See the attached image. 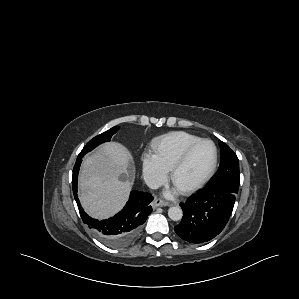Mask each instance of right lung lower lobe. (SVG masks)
<instances>
[{"label":"right lung lower lobe","instance_id":"98d812e1","mask_svg":"<svg viewBox=\"0 0 299 299\" xmlns=\"http://www.w3.org/2000/svg\"><path fill=\"white\" fill-rule=\"evenodd\" d=\"M83 156L84 155L78 156L72 176L73 194L81 218L84 223L94 229L97 236L105 244L114 248L125 247L135 239L141 225L152 212V207L149 203L153 200V197L145 192L132 191L129 201L114 217L102 221L89 217L82 209L77 196V178Z\"/></svg>","mask_w":299,"mask_h":299}]
</instances>
